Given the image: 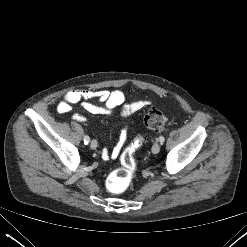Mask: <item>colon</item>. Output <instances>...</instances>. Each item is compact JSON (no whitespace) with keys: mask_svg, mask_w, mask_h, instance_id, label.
I'll list each match as a JSON object with an SVG mask.
<instances>
[{"mask_svg":"<svg viewBox=\"0 0 247 247\" xmlns=\"http://www.w3.org/2000/svg\"><path fill=\"white\" fill-rule=\"evenodd\" d=\"M167 116L156 108H150L145 114L144 125L147 129L160 132L164 129ZM141 136L123 151L121 155V167L112 171L106 179V187L112 193H121L128 188L136 172V161L134 154L141 146Z\"/></svg>","mask_w":247,"mask_h":247,"instance_id":"colon-1","label":"colon"}]
</instances>
